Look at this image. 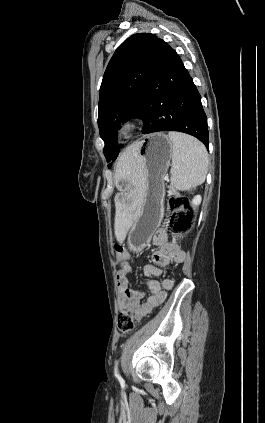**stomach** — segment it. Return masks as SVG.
Masks as SVG:
<instances>
[{
  "mask_svg": "<svg viewBox=\"0 0 265 423\" xmlns=\"http://www.w3.org/2000/svg\"><path fill=\"white\" fill-rule=\"evenodd\" d=\"M137 162L143 174L140 212L128 233V246L141 251L150 242L164 216V176L170 165L173 144L164 133L147 135L138 142Z\"/></svg>",
  "mask_w": 265,
  "mask_h": 423,
  "instance_id": "1",
  "label": "stomach"
}]
</instances>
